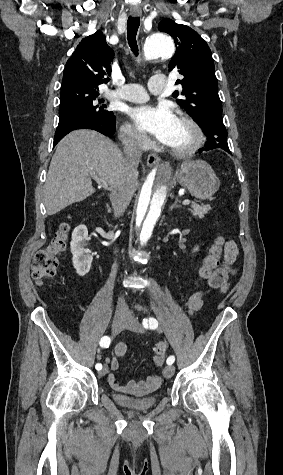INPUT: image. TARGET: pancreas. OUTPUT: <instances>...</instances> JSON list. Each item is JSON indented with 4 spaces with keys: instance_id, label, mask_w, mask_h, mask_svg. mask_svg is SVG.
<instances>
[{
    "instance_id": "cf45deb5",
    "label": "pancreas",
    "mask_w": 283,
    "mask_h": 475,
    "mask_svg": "<svg viewBox=\"0 0 283 475\" xmlns=\"http://www.w3.org/2000/svg\"><path fill=\"white\" fill-rule=\"evenodd\" d=\"M209 210H211L210 206H205V204H192L190 212H192L193 216H198V218H204V214H208Z\"/></svg>"
}]
</instances>
